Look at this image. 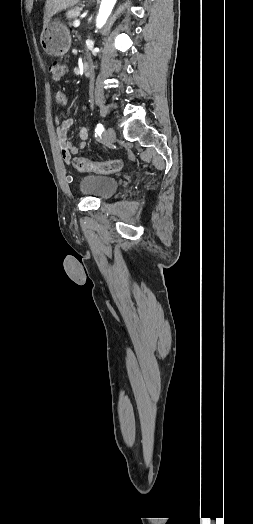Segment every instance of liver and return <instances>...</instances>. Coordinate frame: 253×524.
<instances>
[{"instance_id":"6515ba94","label":"liver","mask_w":253,"mask_h":524,"mask_svg":"<svg viewBox=\"0 0 253 524\" xmlns=\"http://www.w3.org/2000/svg\"><path fill=\"white\" fill-rule=\"evenodd\" d=\"M79 1L80 0H46L43 28H45L48 25L51 17H53L56 13H59L67 8L73 7Z\"/></svg>"}]
</instances>
